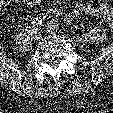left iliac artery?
I'll use <instances>...</instances> for the list:
<instances>
[{
  "instance_id": "1",
  "label": "left iliac artery",
  "mask_w": 113,
  "mask_h": 113,
  "mask_svg": "<svg viewBox=\"0 0 113 113\" xmlns=\"http://www.w3.org/2000/svg\"><path fill=\"white\" fill-rule=\"evenodd\" d=\"M64 21L67 23V24H70L71 23V21H72V19L70 18V16H65V18H64ZM56 29H58V27H56Z\"/></svg>"
}]
</instances>
